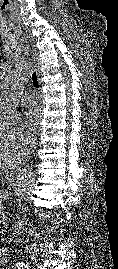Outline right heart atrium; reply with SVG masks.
<instances>
[{
  "instance_id": "right-heart-atrium-1",
  "label": "right heart atrium",
  "mask_w": 118,
  "mask_h": 269,
  "mask_svg": "<svg viewBox=\"0 0 118 269\" xmlns=\"http://www.w3.org/2000/svg\"><path fill=\"white\" fill-rule=\"evenodd\" d=\"M30 140L29 133L23 127L18 117L10 120L0 116V145L21 146L28 143Z\"/></svg>"
}]
</instances>
